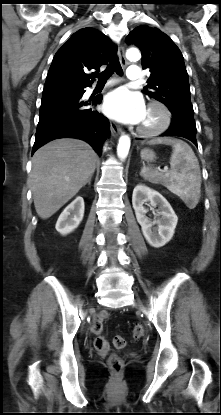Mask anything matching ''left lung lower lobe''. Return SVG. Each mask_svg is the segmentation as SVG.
<instances>
[{
  "label": "left lung lower lobe",
  "mask_w": 221,
  "mask_h": 415,
  "mask_svg": "<svg viewBox=\"0 0 221 415\" xmlns=\"http://www.w3.org/2000/svg\"><path fill=\"white\" fill-rule=\"evenodd\" d=\"M169 129L161 136H179L192 141L197 146L196 124L193 110L177 109L172 111Z\"/></svg>",
  "instance_id": "left-lung-lower-lobe-1"
}]
</instances>
